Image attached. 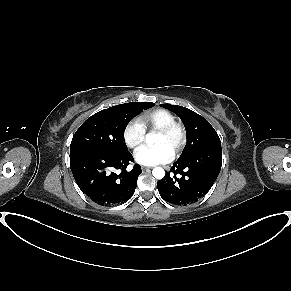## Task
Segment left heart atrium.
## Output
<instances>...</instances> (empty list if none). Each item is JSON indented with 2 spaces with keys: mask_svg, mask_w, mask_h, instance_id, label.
Here are the masks:
<instances>
[{
  "mask_svg": "<svg viewBox=\"0 0 291 291\" xmlns=\"http://www.w3.org/2000/svg\"><path fill=\"white\" fill-rule=\"evenodd\" d=\"M173 156L172 149L163 144L155 146L144 145L139 147L134 153L135 160L147 166L169 162Z\"/></svg>",
  "mask_w": 291,
  "mask_h": 291,
  "instance_id": "39dd6f15",
  "label": "left heart atrium"
}]
</instances>
